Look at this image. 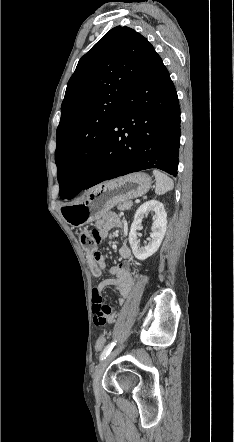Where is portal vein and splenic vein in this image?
I'll return each instance as SVG.
<instances>
[{"instance_id":"1","label":"portal vein and splenic vein","mask_w":234,"mask_h":442,"mask_svg":"<svg viewBox=\"0 0 234 442\" xmlns=\"http://www.w3.org/2000/svg\"><path fill=\"white\" fill-rule=\"evenodd\" d=\"M140 201L139 200H136V203H139Z\"/></svg>"}]
</instances>
